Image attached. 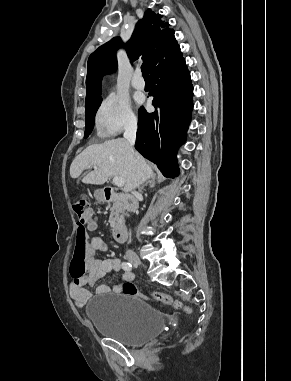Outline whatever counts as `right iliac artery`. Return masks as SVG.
<instances>
[{"instance_id": "1", "label": "right iliac artery", "mask_w": 291, "mask_h": 381, "mask_svg": "<svg viewBox=\"0 0 291 381\" xmlns=\"http://www.w3.org/2000/svg\"><path fill=\"white\" fill-rule=\"evenodd\" d=\"M122 268H123L125 271H130V270H132V264L129 263V262H123V263H122Z\"/></svg>"}]
</instances>
